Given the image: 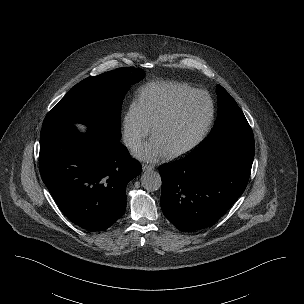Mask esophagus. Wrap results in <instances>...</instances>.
I'll return each mask as SVG.
<instances>
[{
	"mask_svg": "<svg viewBox=\"0 0 304 304\" xmlns=\"http://www.w3.org/2000/svg\"><path fill=\"white\" fill-rule=\"evenodd\" d=\"M154 169V166L153 165H150V164H142V170L143 171H148V170H152Z\"/></svg>",
	"mask_w": 304,
	"mask_h": 304,
	"instance_id": "esophagus-1",
	"label": "esophagus"
}]
</instances>
